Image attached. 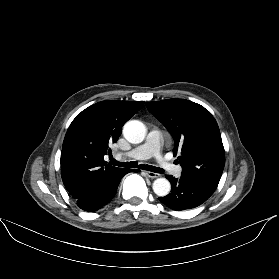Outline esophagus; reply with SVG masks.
Segmentation results:
<instances>
[{
    "label": "esophagus",
    "mask_w": 279,
    "mask_h": 279,
    "mask_svg": "<svg viewBox=\"0 0 279 279\" xmlns=\"http://www.w3.org/2000/svg\"><path fill=\"white\" fill-rule=\"evenodd\" d=\"M146 175L150 178H158L160 177V174L158 173H154V172H150V171H146Z\"/></svg>",
    "instance_id": "1"
}]
</instances>
